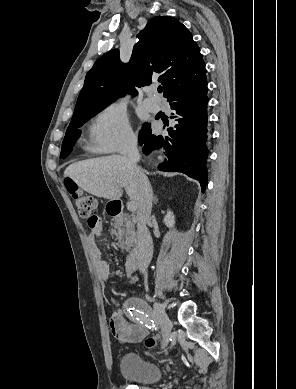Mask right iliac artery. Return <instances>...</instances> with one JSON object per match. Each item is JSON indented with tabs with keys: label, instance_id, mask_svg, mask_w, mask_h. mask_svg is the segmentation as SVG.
Masks as SVG:
<instances>
[{
	"label": "right iliac artery",
	"instance_id": "obj_1",
	"mask_svg": "<svg viewBox=\"0 0 296 389\" xmlns=\"http://www.w3.org/2000/svg\"><path fill=\"white\" fill-rule=\"evenodd\" d=\"M125 307L128 316L133 321H139L150 329H156L154 321L149 317L151 308L145 301L139 298H131L126 302Z\"/></svg>",
	"mask_w": 296,
	"mask_h": 389
}]
</instances>
